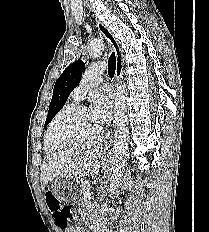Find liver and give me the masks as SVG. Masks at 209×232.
<instances>
[{"label": "liver", "mask_w": 209, "mask_h": 232, "mask_svg": "<svg viewBox=\"0 0 209 232\" xmlns=\"http://www.w3.org/2000/svg\"><path fill=\"white\" fill-rule=\"evenodd\" d=\"M100 143L89 141L47 156L41 166V188L45 189L54 177L81 178L87 174L96 176L100 168Z\"/></svg>", "instance_id": "obj_1"}]
</instances>
